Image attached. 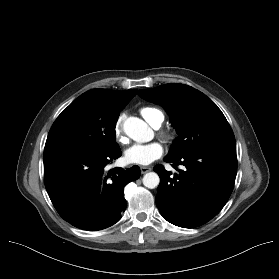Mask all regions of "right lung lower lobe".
Returning a JSON list of instances; mask_svg holds the SVG:
<instances>
[{"instance_id":"obj_1","label":"right lung lower lobe","mask_w":279,"mask_h":279,"mask_svg":"<svg viewBox=\"0 0 279 279\" xmlns=\"http://www.w3.org/2000/svg\"><path fill=\"white\" fill-rule=\"evenodd\" d=\"M121 156L120 148L106 153L67 148L44 153V181L60 216L84 230L112 226L126 209L124 187L140 177V168L105 166Z\"/></svg>"}]
</instances>
